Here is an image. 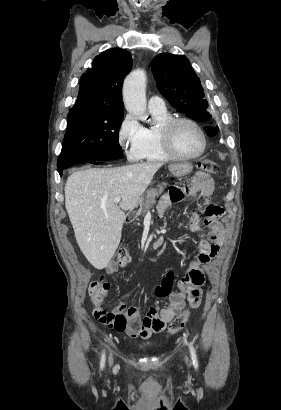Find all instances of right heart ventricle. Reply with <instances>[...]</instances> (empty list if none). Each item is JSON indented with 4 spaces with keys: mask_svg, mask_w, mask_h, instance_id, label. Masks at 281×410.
<instances>
[{
    "mask_svg": "<svg viewBox=\"0 0 281 410\" xmlns=\"http://www.w3.org/2000/svg\"><path fill=\"white\" fill-rule=\"evenodd\" d=\"M155 119V124L145 128L144 141L140 151L139 160L151 162H166L173 158L164 150L160 138L159 127L171 114L165 110H150Z\"/></svg>",
    "mask_w": 281,
    "mask_h": 410,
    "instance_id": "e07e8e85",
    "label": "right heart ventricle"
}]
</instances>
